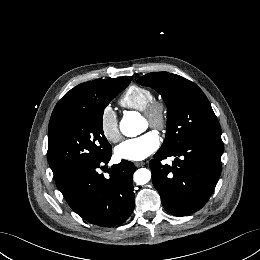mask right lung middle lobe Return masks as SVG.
Listing matches in <instances>:
<instances>
[{
  "mask_svg": "<svg viewBox=\"0 0 260 260\" xmlns=\"http://www.w3.org/2000/svg\"><path fill=\"white\" fill-rule=\"evenodd\" d=\"M126 86H107L97 91L74 113L49 128L48 161L55 178L75 166L97 162L112 153L103 133V112Z\"/></svg>",
  "mask_w": 260,
  "mask_h": 260,
  "instance_id": "obj_1",
  "label": "right lung middle lobe"
}]
</instances>
